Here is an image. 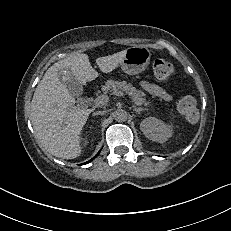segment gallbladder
I'll return each instance as SVG.
<instances>
[{"mask_svg":"<svg viewBox=\"0 0 231 231\" xmlns=\"http://www.w3.org/2000/svg\"><path fill=\"white\" fill-rule=\"evenodd\" d=\"M57 80L65 85L74 97H79L82 94V84L74 76V73L69 68L62 66L58 70Z\"/></svg>","mask_w":231,"mask_h":231,"instance_id":"obj_1","label":"gallbladder"}]
</instances>
